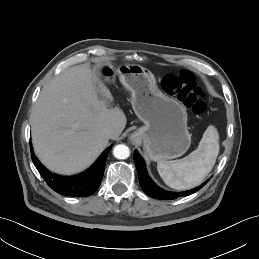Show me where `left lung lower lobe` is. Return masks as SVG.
I'll return each mask as SVG.
<instances>
[{
  "label": "left lung lower lobe",
  "instance_id": "obj_1",
  "mask_svg": "<svg viewBox=\"0 0 259 259\" xmlns=\"http://www.w3.org/2000/svg\"><path fill=\"white\" fill-rule=\"evenodd\" d=\"M134 160H135L141 188L148 196L152 198L161 199V200H172L181 196L191 195L197 192L198 190H200L207 183L205 182L201 186L185 192H179V193L168 192L159 188L148 176L145 168V162L137 150L134 153Z\"/></svg>",
  "mask_w": 259,
  "mask_h": 259
}]
</instances>
